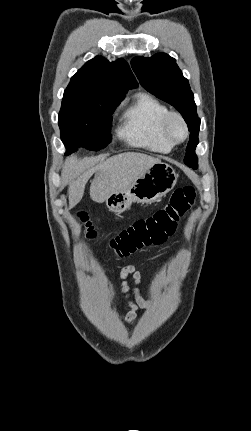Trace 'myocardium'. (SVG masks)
<instances>
[{
  "mask_svg": "<svg viewBox=\"0 0 251 431\" xmlns=\"http://www.w3.org/2000/svg\"><path fill=\"white\" fill-rule=\"evenodd\" d=\"M176 120L180 122L184 130V136L181 139L174 137L171 131V124ZM162 132L165 138L173 145L180 144L184 142L189 136V127L184 116L177 111H168L162 121Z\"/></svg>",
  "mask_w": 251,
  "mask_h": 431,
  "instance_id": "f54148a6",
  "label": "myocardium"
}]
</instances>
